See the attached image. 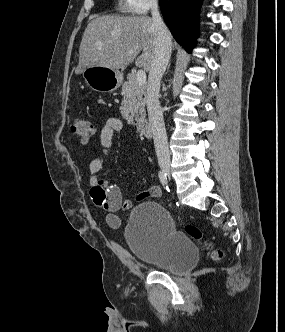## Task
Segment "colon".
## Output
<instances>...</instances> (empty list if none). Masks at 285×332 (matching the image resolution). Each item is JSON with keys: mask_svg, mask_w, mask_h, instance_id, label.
<instances>
[{"mask_svg": "<svg viewBox=\"0 0 285 332\" xmlns=\"http://www.w3.org/2000/svg\"><path fill=\"white\" fill-rule=\"evenodd\" d=\"M70 127L73 134L84 143L88 142L95 133L94 126L91 122L81 117L73 119ZM185 232L195 240H201L202 238V231L195 225H186ZM223 255L222 250H216L212 253L214 260L222 259Z\"/></svg>", "mask_w": 285, "mask_h": 332, "instance_id": "5ec220e1", "label": "colon"}]
</instances>
